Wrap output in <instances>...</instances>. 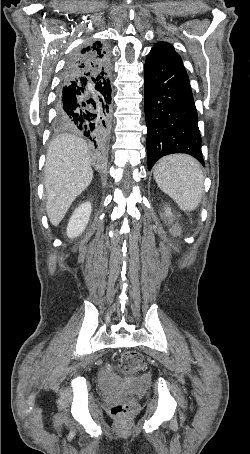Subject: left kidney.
<instances>
[{
  "label": "left kidney",
  "instance_id": "obj_1",
  "mask_svg": "<svg viewBox=\"0 0 250 454\" xmlns=\"http://www.w3.org/2000/svg\"><path fill=\"white\" fill-rule=\"evenodd\" d=\"M166 215H168V216H172V213H171V210H170V208H166Z\"/></svg>",
  "mask_w": 250,
  "mask_h": 454
}]
</instances>
